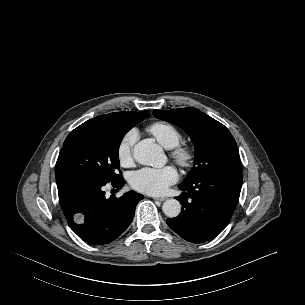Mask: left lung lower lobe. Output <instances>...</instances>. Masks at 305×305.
I'll return each mask as SVG.
<instances>
[{"label":"left lung lower lobe","instance_id":"1","mask_svg":"<svg viewBox=\"0 0 305 305\" xmlns=\"http://www.w3.org/2000/svg\"><path fill=\"white\" fill-rule=\"evenodd\" d=\"M242 186L241 167L208 173L194 182L181 183L182 212L167 219L168 226L193 243L211 241L228 225ZM187 191V192H186Z\"/></svg>","mask_w":305,"mask_h":305}]
</instances>
